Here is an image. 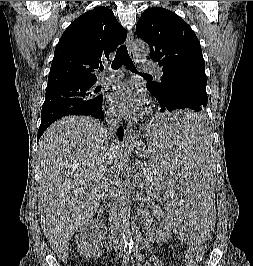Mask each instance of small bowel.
<instances>
[{
    "label": "small bowel",
    "mask_w": 253,
    "mask_h": 266,
    "mask_svg": "<svg viewBox=\"0 0 253 266\" xmlns=\"http://www.w3.org/2000/svg\"><path fill=\"white\" fill-rule=\"evenodd\" d=\"M150 260L152 261V263H153L154 266H162L161 261H159L158 259H156V258H150Z\"/></svg>",
    "instance_id": "small-bowel-1"
}]
</instances>
